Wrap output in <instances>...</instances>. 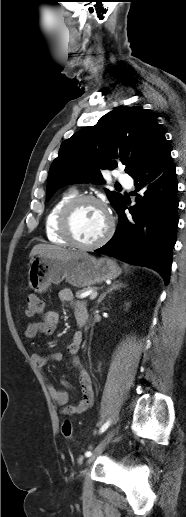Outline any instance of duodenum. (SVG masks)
Listing matches in <instances>:
<instances>
[{
	"mask_svg": "<svg viewBox=\"0 0 186 517\" xmlns=\"http://www.w3.org/2000/svg\"><path fill=\"white\" fill-rule=\"evenodd\" d=\"M78 324L83 327L88 322V312L87 310L80 311L77 314Z\"/></svg>",
	"mask_w": 186,
	"mask_h": 517,
	"instance_id": "duodenum-1",
	"label": "duodenum"
}]
</instances>
